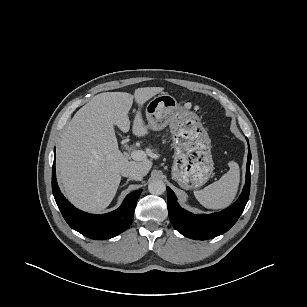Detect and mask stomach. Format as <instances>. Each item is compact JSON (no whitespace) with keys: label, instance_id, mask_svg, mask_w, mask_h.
I'll use <instances>...</instances> for the list:
<instances>
[{"label":"stomach","instance_id":"stomach-1","mask_svg":"<svg viewBox=\"0 0 307 307\" xmlns=\"http://www.w3.org/2000/svg\"><path fill=\"white\" fill-rule=\"evenodd\" d=\"M146 118L148 129L170 128L175 149L172 177L177 183L187 190L203 186L212 175L214 163L210 138L197 114L162 93L147 104Z\"/></svg>","mask_w":307,"mask_h":307}]
</instances>
